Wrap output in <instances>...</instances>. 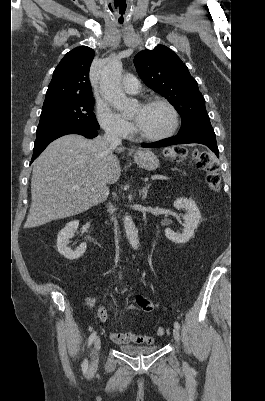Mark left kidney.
Returning a JSON list of instances; mask_svg holds the SVG:
<instances>
[{
  "instance_id": "left-kidney-1",
  "label": "left kidney",
  "mask_w": 265,
  "mask_h": 401,
  "mask_svg": "<svg viewBox=\"0 0 265 401\" xmlns=\"http://www.w3.org/2000/svg\"><path fill=\"white\" fill-rule=\"evenodd\" d=\"M175 209H185L187 211L184 215V225L185 227L183 233H174L171 229H165V237L169 241H174V243H187L191 237L194 235L195 229L198 227V223L201 219V213L192 198H176L173 203Z\"/></svg>"
}]
</instances>
